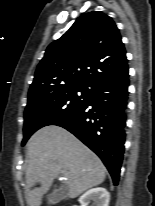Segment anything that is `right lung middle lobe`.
Here are the masks:
<instances>
[{"label":"right lung middle lobe","instance_id":"right-lung-middle-lobe-1","mask_svg":"<svg viewBox=\"0 0 155 206\" xmlns=\"http://www.w3.org/2000/svg\"><path fill=\"white\" fill-rule=\"evenodd\" d=\"M93 93L94 89L85 85H67L28 96L22 146L38 129L53 125L77 111L92 98Z\"/></svg>","mask_w":155,"mask_h":206}]
</instances>
